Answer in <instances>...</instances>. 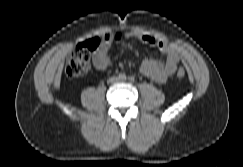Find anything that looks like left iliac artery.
<instances>
[{
	"mask_svg": "<svg viewBox=\"0 0 243 167\" xmlns=\"http://www.w3.org/2000/svg\"><path fill=\"white\" fill-rule=\"evenodd\" d=\"M129 80H130L131 82H133V81H134V77H129Z\"/></svg>",
	"mask_w": 243,
	"mask_h": 167,
	"instance_id": "44dca946",
	"label": "left iliac artery"
}]
</instances>
